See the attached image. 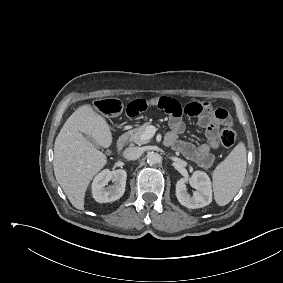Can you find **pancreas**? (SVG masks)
Wrapping results in <instances>:
<instances>
[{"instance_id": "pancreas-1", "label": "pancreas", "mask_w": 283, "mask_h": 283, "mask_svg": "<svg viewBox=\"0 0 283 283\" xmlns=\"http://www.w3.org/2000/svg\"><path fill=\"white\" fill-rule=\"evenodd\" d=\"M149 126L150 123L147 122L133 130L128 131L127 135L129 136V140L136 142L139 145L147 143L149 139H142V136L145 134V131Z\"/></svg>"}]
</instances>
